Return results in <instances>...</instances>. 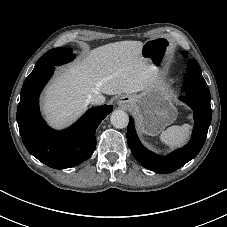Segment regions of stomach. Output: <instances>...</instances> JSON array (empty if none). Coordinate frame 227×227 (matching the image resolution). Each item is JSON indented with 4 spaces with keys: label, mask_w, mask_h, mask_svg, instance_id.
<instances>
[{
    "label": "stomach",
    "mask_w": 227,
    "mask_h": 227,
    "mask_svg": "<svg viewBox=\"0 0 227 227\" xmlns=\"http://www.w3.org/2000/svg\"><path fill=\"white\" fill-rule=\"evenodd\" d=\"M170 54V46L162 39L149 40L144 43L141 56L157 68L163 67ZM129 103L137 116L141 132L155 135L167 125L173 123L177 111L172 104L168 91L152 86L138 95H129Z\"/></svg>",
    "instance_id": "1"
}]
</instances>
